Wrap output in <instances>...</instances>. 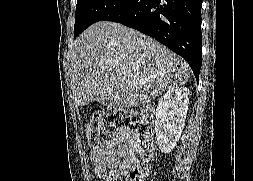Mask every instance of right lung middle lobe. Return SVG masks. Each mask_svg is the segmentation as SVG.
<instances>
[{"label": "right lung middle lobe", "mask_w": 253, "mask_h": 181, "mask_svg": "<svg viewBox=\"0 0 253 181\" xmlns=\"http://www.w3.org/2000/svg\"><path fill=\"white\" fill-rule=\"evenodd\" d=\"M127 0H78L76 5L74 38L91 24L103 20L118 10Z\"/></svg>", "instance_id": "1"}]
</instances>
